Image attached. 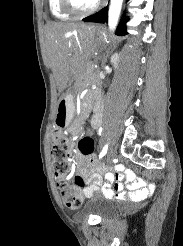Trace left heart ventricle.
Returning a JSON list of instances; mask_svg holds the SVG:
<instances>
[{"instance_id": "left-heart-ventricle-1", "label": "left heart ventricle", "mask_w": 183, "mask_h": 246, "mask_svg": "<svg viewBox=\"0 0 183 246\" xmlns=\"http://www.w3.org/2000/svg\"><path fill=\"white\" fill-rule=\"evenodd\" d=\"M96 0H74L77 7L80 9H86L90 7Z\"/></svg>"}]
</instances>
